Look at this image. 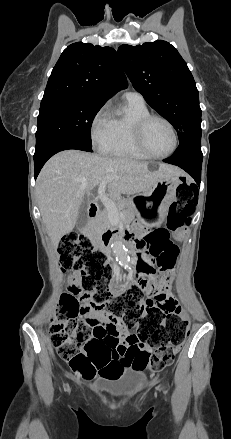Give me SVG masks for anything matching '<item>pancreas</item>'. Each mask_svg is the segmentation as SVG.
Masks as SVG:
<instances>
[{"mask_svg": "<svg viewBox=\"0 0 231 439\" xmlns=\"http://www.w3.org/2000/svg\"><path fill=\"white\" fill-rule=\"evenodd\" d=\"M115 204L124 222H130L133 220L136 212H135L133 201L131 199L118 198ZM98 220L102 228L111 225L110 215L106 208L99 215Z\"/></svg>", "mask_w": 231, "mask_h": 439, "instance_id": "obj_1", "label": "pancreas"}]
</instances>
